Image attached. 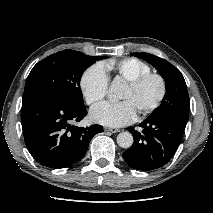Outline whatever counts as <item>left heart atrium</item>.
<instances>
[{"instance_id": "obj_1", "label": "left heart atrium", "mask_w": 213, "mask_h": 213, "mask_svg": "<svg viewBox=\"0 0 213 213\" xmlns=\"http://www.w3.org/2000/svg\"><path fill=\"white\" fill-rule=\"evenodd\" d=\"M137 116V111L129 100L119 103L104 102L92 108L91 119L99 124L119 127L132 123Z\"/></svg>"}]
</instances>
